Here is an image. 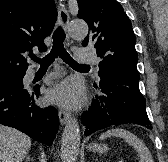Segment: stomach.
<instances>
[{
  "instance_id": "obj_1",
  "label": "stomach",
  "mask_w": 168,
  "mask_h": 162,
  "mask_svg": "<svg viewBox=\"0 0 168 162\" xmlns=\"http://www.w3.org/2000/svg\"><path fill=\"white\" fill-rule=\"evenodd\" d=\"M88 148L90 151L99 152L100 154L108 151V147L106 145H101V144L100 145L92 144V145H89Z\"/></svg>"
}]
</instances>
